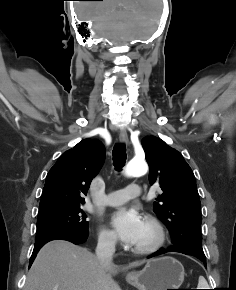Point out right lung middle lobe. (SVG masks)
Returning <instances> with one entry per match:
<instances>
[{
    "label": "right lung middle lobe",
    "instance_id": "dd1d6c3e",
    "mask_svg": "<svg viewBox=\"0 0 236 290\" xmlns=\"http://www.w3.org/2000/svg\"><path fill=\"white\" fill-rule=\"evenodd\" d=\"M88 232V222L80 205L52 206L39 210L35 240L56 233Z\"/></svg>",
    "mask_w": 236,
    "mask_h": 290
}]
</instances>
